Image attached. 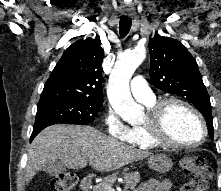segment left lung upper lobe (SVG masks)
I'll return each mask as SVG.
<instances>
[{"mask_svg":"<svg viewBox=\"0 0 221 191\" xmlns=\"http://www.w3.org/2000/svg\"><path fill=\"white\" fill-rule=\"evenodd\" d=\"M150 77L154 86L190 101L205 117L214 138L211 103L196 60L179 41L155 35L149 40Z\"/></svg>","mask_w":221,"mask_h":191,"instance_id":"left-lung-upper-lobe-1","label":"left lung upper lobe"}]
</instances>
